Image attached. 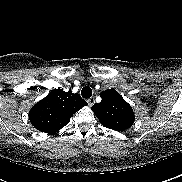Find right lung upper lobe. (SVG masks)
I'll list each match as a JSON object with an SVG mask.
<instances>
[{
    "instance_id": "right-lung-upper-lobe-1",
    "label": "right lung upper lobe",
    "mask_w": 182,
    "mask_h": 182,
    "mask_svg": "<svg viewBox=\"0 0 182 182\" xmlns=\"http://www.w3.org/2000/svg\"><path fill=\"white\" fill-rule=\"evenodd\" d=\"M85 105L87 102L78 94L54 89L31 108L29 120L37 130L53 133L66 126L72 115Z\"/></svg>"
}]
</instances>
